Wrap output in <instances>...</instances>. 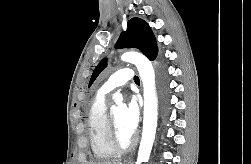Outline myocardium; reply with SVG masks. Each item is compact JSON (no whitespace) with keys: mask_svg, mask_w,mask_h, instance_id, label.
I'll list each match as a JSON object with an SVG mask.
<instances>
[{"mask_svg":"<svg viewBox=\"0 0 251 164\" xmlns=\"http://www.w3.org/2000/svg\"><path fill=\"white\" fill-rule=\"evenodd\" d=\"M108 122H109L110 141L115 150L117 152H126L131 150L137 142L136 136L132 134L127 142L122 141L112 111L108 112Z\"/></svg>","mask_w":251,"mask_h":164,"instance_id":"obj_1","label":"myocardium"}]
</instances>
